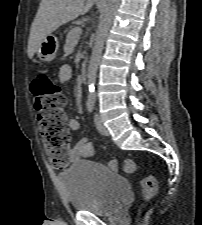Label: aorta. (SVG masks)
Segmentation results:
<instances>
[{
  "label": "aorta",
  "instance_id": "762f6f07",
  "mask_svg": "<svg viewBox=\"0 0 202 225\" xmlns=\"http://www.w3.org/2000/svg\"><path fill=\"white\" fill-rule=\"evenodd\" d=\"M120 0H105L103 11L100 15L99 25L96 32V38L92 49V54L88 66V101H95L96 99V76L99 62L104 48L109 29L112 25L114 15L118 9Z\"/></svg>",
  "mask_w": 202,
  "mask_h": 225
}]
</instances>
